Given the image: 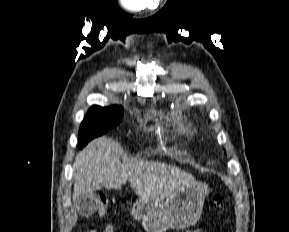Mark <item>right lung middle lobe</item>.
Wrapping results in <instances>:
<instances>
[{
	"label": "right lung middle lobe",
	"instance_id": "dd1d6c3e",
	"mask_svg": "<svg viewBox=\"0 0 289 232\" xmlns=\"http://www.w3.org/2000/svg\"><path fill=\"white\" fill-rule=\"evenodd\" d=\"M123 119V108L117 105L109 107L92 106L81 123L79 130L80 148L93 138L98 137L117 126Z\"/></svg>",
	"mask_w": 289,
	"mask_h": 232
}]
</instances>
